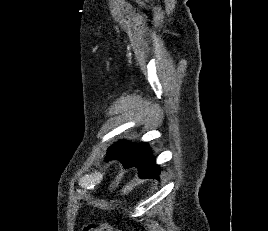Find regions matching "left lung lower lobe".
Wrapping results in <instances>:
<instances>
[{"mask_svg":"<svg viewBox=\"0 0 268 231\" xmlns=\"http://www.w3.org/2000/svg\"><path fill=\"white\" fill-rule=\"evenodd\" d=\"M107 155V159L120 160L125 169L136 166L139 170V177L142 179L159 176V167L153 162L148 144L139 150L130 147L126 150L115 152L109 149Z\"/></svg>","mask_w":268,"mask_h":231,"instance_id":"1","label":"left lung lower lobe"}]
</instances>
